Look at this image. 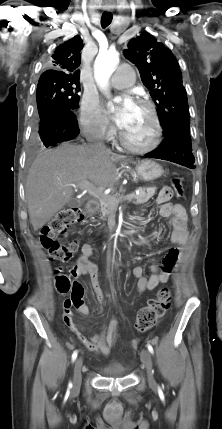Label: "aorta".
Instances as JSON below:
<instances>
[{
	"label": "aorta",
	"instance_id": "obj_1",
	"mask_svg": "<svg viewBox=\"0 0 222 429\" xmlns=\"http://www.w3.org/2000/svg\"><path fill=\"white\" fill-rule=\"evenodd\" d=\"M119 62V54L115 50L99 52L95 60V78L102 90L107 89V81Z\"/></svg>",
	"mask_w": 222,
	"mask_h": 429
}]
</instances>
